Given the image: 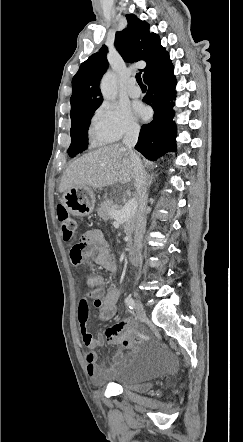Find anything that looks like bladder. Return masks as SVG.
<instances>
[{
    "instance_id": "1",
    "label": "bladder",
    "mask_w": 243,
    "mask_h": 442,
    "mask_svg": "<svg viewBox=\"0 0 243 442\" xmlns=\"http://www.w3.org/2000/svg\"><path fill=\"white\" fill-rule=\"evenodd\" d=\"M154 376L153 360L141 353H134L120 363L110 378V383L136 393H148L154 387Z\"/></svg>"
}]
</instances>
